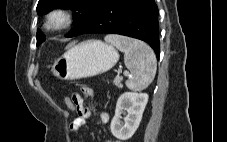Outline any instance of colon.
<instances>
[{
	"label": "colon",
	"instance_id": "obj_1",
	"mask_svg": "<svg viewBox=\"0 0 227 142\" xmlns=\"http://www.w3.org/2000/svg\"><path fill=\"white\" fill-rule=\"evenodd\" d=\"M65 104H66V106H67V108L69 110L74 111V112L75 111L77 112L76 107H75V104H74V102H73V100H72L71 97H66L65 98Z\"/></svg>",
	"mask_w": 227,
	"mask_h": 142
}]
</instances>
